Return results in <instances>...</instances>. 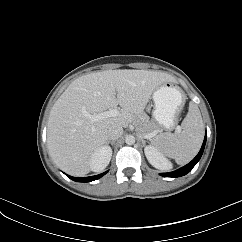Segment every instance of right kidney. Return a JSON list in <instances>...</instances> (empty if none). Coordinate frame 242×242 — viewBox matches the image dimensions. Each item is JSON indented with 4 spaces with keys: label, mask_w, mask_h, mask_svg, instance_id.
<instances>
[{
    "label": "right kidney",
    "mask_w": 242,
    "mask_h": 242,
    "mask_svg": "<svg viewBox=\"0 0 242 242\" xmlns=\"http://www.w3.org/2000/svg\"><path fill=\"white\" fill-rule=\"evenodd\" d=\"M112 157V149L107 146L98 148L90 158V168L92 171H102L109 164Z\"/></svg>",
    "instance_id": "1"
}]
</instances>
